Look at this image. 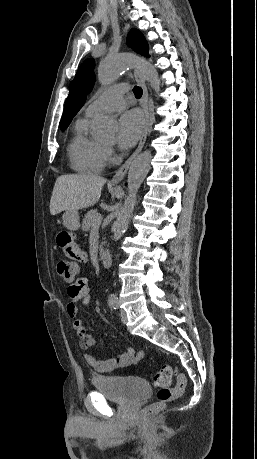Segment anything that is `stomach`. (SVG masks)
Segmentation results:
<instances>
[{"label": "stomach", "mask_w": 257, "mask_h": 459, "mask_svg": "<svg viewBox=\"0 0 257 459\" xmlns=\"http://www.w3.org/2000/svg\"><path fill=\"white\" fill-rule=\"evenodd\" d=\"M63 224L68 230H78L80 228L78 210L66 211L63 215Z\"/></svg>", "instance_id": "0dacf381"}]
</instances>
